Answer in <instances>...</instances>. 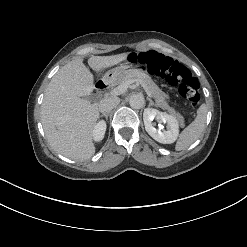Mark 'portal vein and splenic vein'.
<instances>
[{"label": "portal vein and splenic vein", "instance_id": "1", "mask_svg": "<svg viewBox=\"0 0 247 247\" xmlns=\"http://www.w3.org/2000/svg\"><path fill=\"white\" fill-rule=\"evenodd\" d=\"M135 81L134 80H129L125 83H123L122 85H119L118 87H116L115 89H113L110 94L113 95V96H117V95H121L123 94L124 92L127 91L128 87L134 83ZM142 87L144 88V90L146 91L147 95L149 97H151V93L150 91L147 89V87L145 85H142Z\"/></svg>", "mask_w": 247, "mask_h": 247}]
</instances>
